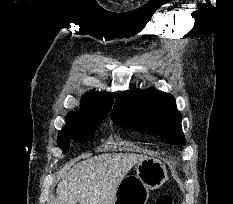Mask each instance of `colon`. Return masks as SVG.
<instances>
[{"instance_id": "colon-1", "label": "colon", "mask_w": 233, "mask_h": 204, "mask_svg": "<svg viewBox=\"0 0 233 204\" xmlns=\"http://www.w3.org/2000/svg\"><path fill=\"white\" fill-rule=\"evenodd\" d=\"M156 204H173V202L169 195L163 194L158 197Z\"/></svg>"}]
</instances>
